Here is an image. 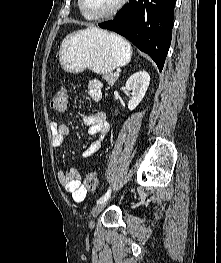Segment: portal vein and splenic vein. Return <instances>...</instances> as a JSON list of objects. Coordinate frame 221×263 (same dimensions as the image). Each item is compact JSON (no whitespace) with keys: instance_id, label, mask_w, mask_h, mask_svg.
Instances as JSON below:
<instances>
[{"instance_id":"1","label":"portal vein and splenic vein","mask_w":221,"mask_h":263,"mask_svg":"<svg viewBox=\"0 0 221 263\" xmlns=\"http://www.w3.org/2000/svg\"><path fill=\"white\" fill-rule=\"evenodd\" d=\"M114 75H115L116 77H118V76H119V73H118V72H115Z\"/></svg>"}]
</instances>
